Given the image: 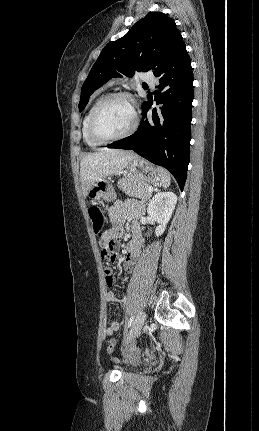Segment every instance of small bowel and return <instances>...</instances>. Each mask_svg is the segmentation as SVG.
I'll use <instances>...</instances> for the list:
<instances>
[{
    "label": "small bowel",
    "mask_w": 259,
    "mask_h": 431,
    "mask_svg": "<svg viewBox=\"0 0 259 431\" xmlns=\"http://www.w3.org/2000/svg\"><path fill=\"white\" fill-rule=\"evenodd\" d=\"M141 210L142 208L139 205L127 206L121 202H118L113 207H111L108 211L111 228L106 231L108 238L114 239L120 237L123 233L125 222L130 219H133L135 215L141 212ZM131 227L132 238L131 241L127 244L125 253L122 257L123 268L128 273H131L133 271L135 261L140 255L142 245V236L137 222L133 221ZM104 273L106 286L109 288L114 287L115 282L112 275V269L106 267L104 269ZM106 299L110 303L123 304L124 302V299L122 297L111 291L107 293ZM119 327V323L113 321L105 329V333L107 335H112L114 332L119 330Z\"/></svg>",
    "instance_id": "small-bowel-1"
}]
</instances>
